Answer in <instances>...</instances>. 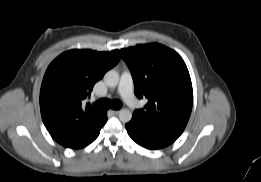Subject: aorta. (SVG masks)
<instances>
[{
	"instance_id": "762f6f07",
	"label": "aorta",
	"mask_w": 261,
	"mask_h": 182,
	"mask_svg": "<svg viewBox=\"0 0 261 182\" xmlns=\"http://www.w3.org/2000/svg\"><path fill=\"white\" fill-rule=\"evenodd\" d=\"M119 73L115 70H109L104 75V81L109 87H116L119 83ZM119 119L123 123H127L132 119V112L128 109H123L119 112Z\"/></svg>"
}]
</instances>
